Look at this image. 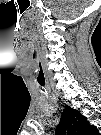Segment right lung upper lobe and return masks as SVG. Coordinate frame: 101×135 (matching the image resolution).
Here are the masks:
<instances>
[{
	"mask_svg": "<svg viewBox=\"0 0 101 135\" xmlns=\"http://www.w3.org/2000/svg\"><path fill=\"white\" fill-rule=\"evenodd\" d=\"M69 129L68 131H66ZM72 135H96L97 130L90 125L86 117L82 116L77 110L67 106L63 110L61 120L56 128V134Z\"/></svg>",
	"mask_w": 101,
	"mask_h": 135,
	"instance_id": "cb5924a9",
	"label": "right lung upper lobe"
}]
</instances>
